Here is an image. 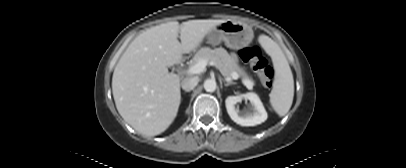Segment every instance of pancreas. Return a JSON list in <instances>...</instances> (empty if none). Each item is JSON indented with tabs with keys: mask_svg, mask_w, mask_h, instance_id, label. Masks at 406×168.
I'll use <instances>...</instances> for the list:
<instances>
[{
	"mask_svg": "<svg viewBox=\"0 0 406 168\" xmlns=\"http://www.w3.org/2000/svg\"><path fill=\"white\" fill-rule=\"evenodd\" d=\"M201 59H206L207 62L215 66L224 77H231L232 73H237L238 77L242 79L243 84L248 81L253 83V79L240 67L234 57H232L224 48H201L193 58V64H196ZM246 86V85H245Z\"/></svg>",
	"mask_w": 406,
	"mask_h": 168,
	"instance_id": "pancreas-1",
	"label": "pancreas"
}]
</instances>
